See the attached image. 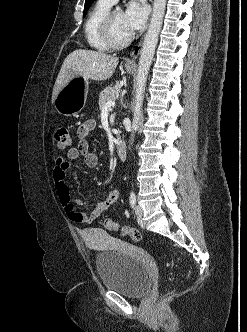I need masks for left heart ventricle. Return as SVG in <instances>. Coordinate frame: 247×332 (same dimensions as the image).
I'll list each match as a JSON object with an SVG mask.
<instances>
[{
    "instance_id": "left-heart-ventricle-1",
    "label": "left heart ventricle",
    "mask_w": 247,
    "mask_h": 332,
    "mask_svg": "<svg viewBox=\"0 0 247 332\" xmlns=\"http://www.w3.org/2000/svg\"><path fill=\"white\" fill-rule=\"evenodd\" d=\"M112 31L117 40H123L131 33L127 30L123 23V13L119 10L113 11L112 15Z\"/></svg>"
}]
</instances>
